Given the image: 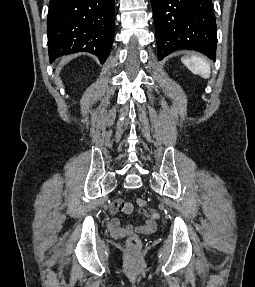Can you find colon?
I'll return each instance as SVG.
<instances>
[{"label":"colon","instance_id":"colon-1","mask_svg":"<svg viewBox=\"0 0 255 287\" xmlns=\"http://www.w3.org/2000/svg\"><path fill=\"white\" fill-rule=\"evenodd\" d=\"M137 204L140 206V207H145L147 202L146 200L142 199V198H139L137 199ZM139 238L137 236H131L129 239H128V246L130 248H136L138 245H139Z\"/></svg>","mask_w":255,"mask_h":287}]
</instances>
